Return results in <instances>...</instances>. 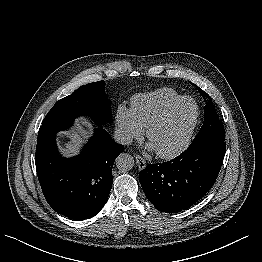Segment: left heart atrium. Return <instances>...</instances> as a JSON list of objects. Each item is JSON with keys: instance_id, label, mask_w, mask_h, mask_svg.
I'll list each match as a JSON object with an SVG mask.
<instances>
[{"instance_id": "39dd6f15", "label": "left heart atrium", "mask_w": 262, "mask_h": 262, "mask_svg": "<svg viewBox=\"0 0 262 262\" xmlns=\"http://www.w3.org/2000/svg\"><path fill=\"white\" fill-rule=\"evenodd\" d=\"M147 148H148V150H150V151L155 150L154 146H153L151 143H149V144L147 145Z\"/></svg>"}]
</instances>
